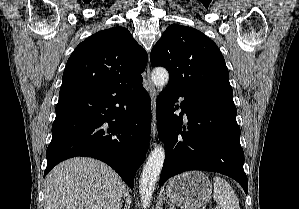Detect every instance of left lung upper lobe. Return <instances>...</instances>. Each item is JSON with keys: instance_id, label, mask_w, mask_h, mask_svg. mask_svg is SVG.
Returning <instances> with one entry per match:
<instances>
[{"instance_id": "left-lung-upper-lobe-1", "label": "left lung upper lobe", "mask_w": 299, "mask_h": 209, "mask_svg": "<svg viewBox=\"0 0 299 209\" xmlns=\"http://www.w3.org/2000/svg\"><path fill=\"white\" fill-rule=\"evenodd\" d=\"M150 61L152 66L168 70L169 85L233 93L221 51L211 39L194 28L170 25L153 47Z\"/></svg>"}]
</instances>
